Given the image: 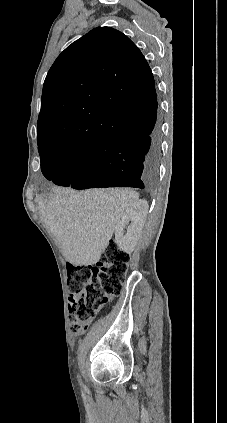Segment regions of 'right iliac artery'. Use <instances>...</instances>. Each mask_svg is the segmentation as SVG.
<instances>
[{
	"label": "right iliac artery",
	"mask_w": 227,
	"mask_h": 423,
	"mask_svg": "<svg viewBox=\"0 0 227 423\" xmlns=\"http://www.w3.org/2000/svg\"><path fill=\"white\" fill-rule=\"evenodd\" d=\"M78 379H79L80 384L82 385V382H81V379L79 378V376H78Z\"/></svg>",
	"instance_id": "1"
}]
</instances>
